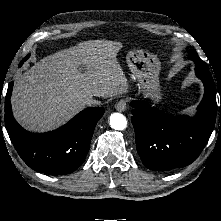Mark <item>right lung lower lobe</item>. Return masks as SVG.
Instances as JSON below:
<instances>
[{"instance_id":"98d812e1","label":"right lung lower lobe","mask_w":221,"mask_h":221,"mask_svg":"<svg viewBox=\"0 0 221 221\" xmlns=\"http://www.w3.org/2000/svg\"><path fill=\"white\" fill-rule=\"evenodd\" d=\"M12 87L13 82L9 84L5 98V127L22 160L33 170L53 176L75 171L85 160L104 109L89 107L57 130L31 133L23 129L12 115Z\"/></svg>"}]
</instances>
